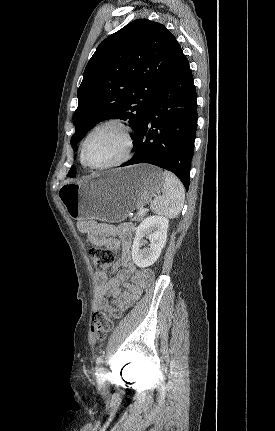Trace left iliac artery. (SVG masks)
Instances as JSON below:
<instances>
[{"instance_id":"1","label":"left iliac artery","mask_w":275,"mask_h":431,"mask_svg":"<svg viewBox=\"0 0 275 431\" xmlns=\"http://www.w3.org/2000/svg\"><path fill=\"white\" fill-rule=\"evenodd\" d=\"M96 376L98 378H102L103 377V372H104V368H103V358L102 356H99L96 360Z\"/></svg>"}]
</instances>
